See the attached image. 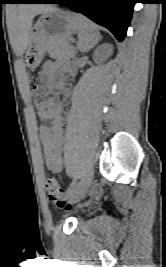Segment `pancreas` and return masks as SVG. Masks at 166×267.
I'll list each match as a JSON object with an SVG mask.
<instances>
[{
  "mask_svg": "<svg viewBox=\"0 0 166 267\" xmlns=\"http://www.w3.org/2000/svg\"><path fill=\"white\" fill-rule=\"evenodd\" d=\"M75 53L74 48L65 40L54 42L49 50L50 57L57 60L73 58Z\"/></svg>",
  "mask_w": 166,
  "mask_h": 267,
  "instance_id": "1",
  "label": "pancreas"
}]
</instances>
